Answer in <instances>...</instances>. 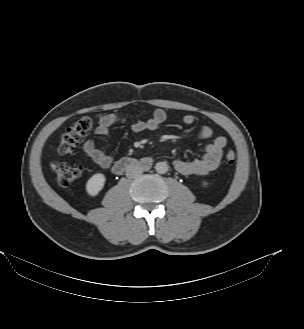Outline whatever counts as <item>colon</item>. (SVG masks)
I'll return each mask as SVG.
<instances>
[{
  "instance_id": "1",
  "label": "colon",
  "mask_w": 304,
  "mask_h": 329,
  "mask_svg": "<svg viewBox=\"0 0 304 329\" xmlns=\"http://www.w3.org/2000/svg\"><path fill=\"white\" fill-rule=\"evenodd\" d=\"M95 117L84 116L75 121L62 134L58 152L60 154H74L77 151L78 143L85 137L93 128ZM225 160L228 164H233L236 160V153L229 149L226 151ZM53 170L56 173L58 183L63 186H69L82 175V167L79 165H68L62 162H55Z\"/></svg>"
}]
</instances>
